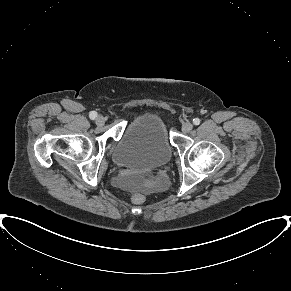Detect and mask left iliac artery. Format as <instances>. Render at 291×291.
Returning a JSON list of instances; mask_svg holds the SVG:
<instances>
[{
	"label": "left iliac artery",
	"mask_w": 291,
	"mask_h": 291,
	"mask_svg": "<svg viewBox=\"0 0 291 291\" xmlns=\"http://www.w3.org/2000/svg\"><path fill=\"white\" fill-rule=\"evenodd\" d=\"M193 124L194 125H199L200 124V119L199 118H194L193 119Z\"/></svg>",
	"instance_id": "obj_1"
}]
</instances>
